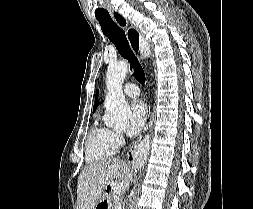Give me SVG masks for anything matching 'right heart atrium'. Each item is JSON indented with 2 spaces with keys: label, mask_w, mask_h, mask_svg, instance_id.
Listing matches in <instances>:
<instances>
[{
  "label": "right heart atrium",
  "mask_w": 253,
  "mask_h": 209,
  "mask_svg": "<svg viewBox=\"0 0 253 209\" xmlns=\"http://www.w3.org/2000/svg\"><path fill=\"white\" fill-rule=\"evenodd\" d=\"M113 141L117 147L122 145V143L124 142V137L122 133L118 131H113Z\"/></svg>",
  "instance_id": "1"
}]
</instances>
